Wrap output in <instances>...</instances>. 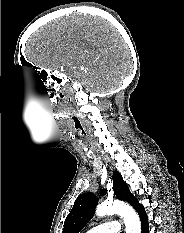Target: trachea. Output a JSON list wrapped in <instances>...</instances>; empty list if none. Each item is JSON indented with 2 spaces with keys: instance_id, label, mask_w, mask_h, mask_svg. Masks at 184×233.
<instances>
[{
  "instance_id": "1",
  "label": "trachea",
  "mask_w": 184,
  "mask_h": 233,
  "mask_svg": "<svg viewBox=\"0 0 184 233\" xmlns=\"http://www.w3.org/2000/svg\"><path fill=\"white\" fill-rule=\"evenodd\" d=\"M82 134H83V135H86L85 132H84V130H82ZM121 233H124V232H121Z\"/></svg>"
}]
</instances>
